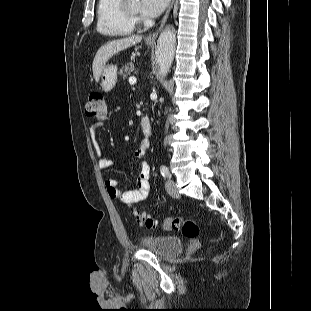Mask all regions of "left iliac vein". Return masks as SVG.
Segmentation results:
<instances>
[{
    "mask_svg": "<svg viewBox=\"0 0 311 311\" xmlns=\"http://www.w3.org/2000/svg\"><path fill=\"white\" fill-rule=\"evenodd\" d=\"M165 187H166L167 193L170 196H172V197H178L179 196V193L176 189L175 183L170 178L166 181Z\"/></svg>",
    "mask_w": 311,
    "mask_h": 311,
    "instance_id": "4c4485c4",
    "label": "left iliac vein"
}]
</instances>
